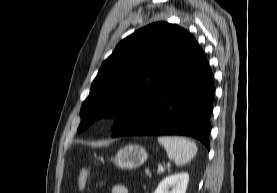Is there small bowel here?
Wrapping results in <instances>:
<instances>
[{
  "instance_id": "c3829d8e",
  "label": "small bowel",
  "mask_w": 277,
  "mask_h": 193,
  "mask_svg": "<svg viewBox=\"0 0 277 193\" xmlns=\"http://www.w3.org/2000/svg\"><path fill=\"white\" fill-rule=\"evenodd\" d=\"M111 193H129L124 185H114L111 188Z\"/></svg>"
}]
</instances>
